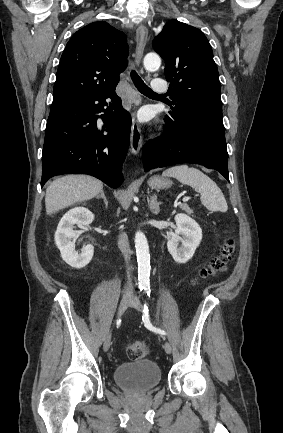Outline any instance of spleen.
Here are the masks:
<instances>
[{
    "instance_id": "3e777b00",
    "label": "spleen",
    "mask_w": 283,
    "mask_h": 433,
    "mask_svg": "<svg viewBox=\"0 0 283 433\" xmlns=\"http://www.w3.org/2000/svg\"><path fill=\"white\" fill-rule=\"evenodd\" d=\"M163 176H174L183 184H189L194 190L200 192L201 202L208 210H221V212L228 210L222 190L214 180H211L198 168H193V166L189 168L188 164H179V166H171L164 170Z\"/></svg>"
}]
</instances>
